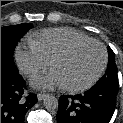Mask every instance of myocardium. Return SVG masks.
I'll return each mask as SVG.
<instances>
[{"label": "myocardium", "mask_w": 123, "mask_h": 123, "mask_svg": "<svg viewBox=\"0 0 123 123\" xmlns=\"http://www.w3.org/2000/svg\"><path fill=\"white\" fill-rule=\"evenodd\" d=\"M86 44H96L101 48L102 54H103L101 66H100L99 70L97 71V73L94 75V77L92 79H90L88 82L81 84V85H77V86L63 85L62 86L63 89L68 91V92L75 93V92L85 91V90L91 88L93 85H95L99 81V79L104 74L106 67H107V64H108V52H107L105 45L102 42H100L96 39H92V38L76 41V42L68 45L66 48L62 49L58 53H56L50 60V66L52 67V65L57 60H60V59H63L65 57L69 56L76 49H78L79 47L84 46Z\"/></svg>", "instance_id": "obj_1"}]
</instances>
